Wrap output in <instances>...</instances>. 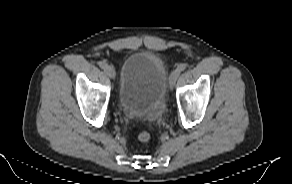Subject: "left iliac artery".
Wrapping results in <instances>:
<instances>
[{"label": "left iliac artery", "mask_w": 292, "mask_h": 184, "mask_svg": "<svg viewBox=\"0 0 292 184\" xmlns=\"http://www.w3.org/2000/svg\"><path fill=\"white\" fill-rule=\"evenodd\" d=\"M185 69H186V64H180L176 70L180 73L184 71Z\"/></svg>", "instance_id": "44dca946"}]
</instances>
